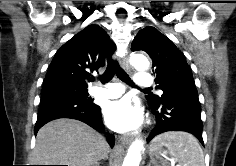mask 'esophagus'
Instances as JSON below:
<instances>
[{
  "label": "esophagus",
  "instance_id": "34e87169",
  "mask_svg": "<svg viewBox=\"0 0 236 166\" xmlns=\"http://www.w3.org/2000/svg\"><path fill=\"white\" fill-rule=\"evenodd\" d=\"M121 63V66L124 70L126 71H130V65H129V61H128V57H123L120 61ZM133 136L131 135H123L121 138H120V141L123 143V144H129L132 142L133 140Z\"/></svg>",
  "mask_w": 236,
  "mask_h": 166
}]
</instances>
